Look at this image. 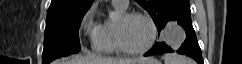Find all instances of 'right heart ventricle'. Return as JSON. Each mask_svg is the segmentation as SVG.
Returning a JSON list of instances; mask_svg holds the SVG:
<instances>
[{"label":"right heart ventricle","mask_w":242,"mask_h":64,"mask_svg":"<svg viewBox=\"0 0 242 64\" xmlns=\"http://www.w3.org/2000/svg\"><path fill=\"white\" fill-rule=\"evenodd\" d=\"M118 14H123L125 10H122L114 6ZM117 19L108 18L101 24L100 31L93 39L94 48L101 53L111 54L119 50L117 37H116Z\"/></svg>","instance_id":"right-heart-ventricle-1"}]
</instances>
